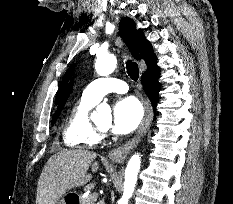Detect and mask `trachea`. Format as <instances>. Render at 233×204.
<instances>
[{"label":"trachea","mask_w":233,"mask_h":204,"mask_svg":"<svg viewBox=\"0 0 233 204\" xmlns=\"http://www.w3.org/2000/svg\"><path fill=\"white\" fill-rule=\"evenodd\" d=\"M126 68H127V73L130 76V78L134 81H137L139 78V68L137 63L132 62L131 60H128L126 62Z\"/></svg>","instance_id":"3493384b"}]
</instances>
